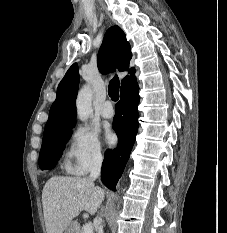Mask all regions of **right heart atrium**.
Wrapping results in <instances>:
<instances>
[{
  "mask_svg": "<svg viewBox=\"0 0 227 233\" xmlns=\"http://www.w3.org/2000/svg\"><path fill=\"white\" fill-rule=\"evenodd\" d=\"M104 151L98 135L84 126L76 127L69 136L65 151L66 170L85 175L102 165Z\"/></svg>",
  "mask_w": 227,
  "mask_h": 233,
  "instance_id": "1",
  "label": "right heart atrium"
}]
</instances>
